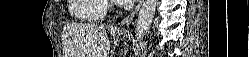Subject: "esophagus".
Here are the masks:
<instances>
[{"mask_svg": "<svg viewBox=\"0 0 249 57\" xmlns=\"http://www.w3.org/2000/svg\"><path fill=\"white\" fill-rule=\"evenodd\" d=\"M142 3H143V0H140L139 3H138V5L133 10V12L129 16H127L126 18H124L120 23L113 25L111 27V30H114V31H121V30H123L124 27H125V25H127L128 23H130L134 19V17L138 13V11H139Z\"/></svg>", "mask_w": 249, "mask_h": 57, "instance_id": "34e87169", "label": "esophagus"}]
</instances>
